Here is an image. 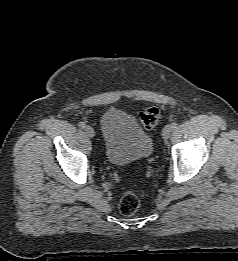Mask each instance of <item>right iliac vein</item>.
I'll list each match as a JSON object with an SVG mask.
<instances>
[{
	"mask_svg": "<svg viewBox=\"0 0 238 261\" xmlns=\"http://www.w3.org/2000/svg\"><path fill=\"white\" fill-rule=\"evenodd\" d=\"M85 133L90 138H93L95 136L94 129L91 126H86L85 127Z\"/></svg>",
	"mask_w": 238,
	"mask_h": 261,
	"instance_id": "1",
	"label": "right iliac vein"
}]
</instances>
